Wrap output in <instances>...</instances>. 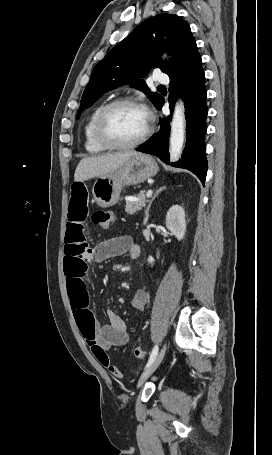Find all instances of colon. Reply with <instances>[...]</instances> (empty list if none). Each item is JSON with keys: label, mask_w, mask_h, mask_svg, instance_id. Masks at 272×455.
<instances>
[{"label": "colon", "mask_w": 272, "mask_h": 455, "mask_svg": "<svg viewBox=\"0 0 272 455\" xmlns=\"http://www.w3.org/2000/svg\"><path fill=\"white\" fill-rule=\"evenodd\" d=\"M112 220V214L106 210H96L92 214L93 223H95L102 231L109 230ZM135 356L137 358L143 359L145 357V351L141 347H136Z\"/></svg>", "instance_id": "colon-1"}]
</instances>
